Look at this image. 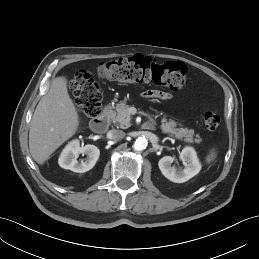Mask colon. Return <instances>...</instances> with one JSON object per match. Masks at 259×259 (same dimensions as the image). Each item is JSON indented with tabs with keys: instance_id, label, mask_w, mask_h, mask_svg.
<instances>
[{
	"instance_id": "obj_1",
	"label": "colon",
	"mask_w": 259,
	"mask_h": 259,
	"mask_svg": "<svg viewBox=\"0 0 259 259\" xmlns=\"http://www.w3.org/2000/svg\"><path fill=\"white\" fill-rule=\"evenodd\" d=\"M98 75L118 83H152L172 90L182 89L187 83V68L183 63L159 62L143 55L101 63ZM69 86L82 116L95 118L100 113L102 94L93 76L85 70H77ZM203 122L206 129L214 131L220 124V116L214 110H207Z\"/></svg>"
}]
</instances>
